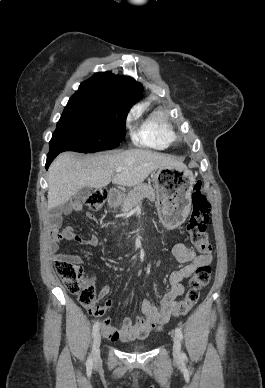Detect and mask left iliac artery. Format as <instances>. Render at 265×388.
I'll list each match as a JSON object with an SVG mask.
<instances>
[{"label": "left iliac artery", "mask_w": 265, "mask_h": 388, "mask_svg": "<svg viewBox=\"0 0 265 388\" xmlns=\"http://www.w3.org/2000/svg\"><path fill=\"white\" fill-rule=\"evenodd\" d=\"M175 333H176V335L180 338V339H182L183 338V333H182V330H181V328H176L175 329Z\"/></svg>", "instance_id": "obj_1"}]
</instances>
